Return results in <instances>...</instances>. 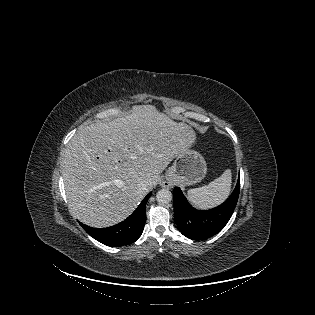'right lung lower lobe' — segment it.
Here are the masks:
<instances>
[{
  "label": "right lung lower lobe",
  "instance_id": "obj_1",
  "mask_svg": "<svg viewBox=\"0 0 315 315\" xmlns=\"http://www.w3.org/2000/svg\"><path fill=\"white\" fill-rule=\"evenodd\" d=\"M149 193L137 209L124 221L107 228H93L80 223L82 228L97 241L108 246H123L135 242L142 234L146 222V203Z\"/></svg>",
  "mask_w": 315,
  "mask_h": 315
}]
</instances>
